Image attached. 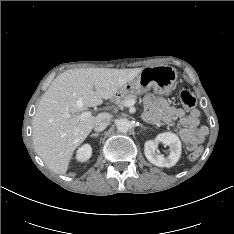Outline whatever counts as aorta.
Wrapping results in <instances>:
<instances>
[{
    "mask_svg": "<svg viewBox=\"0 0 234 234\" xmlns=\"http://www.w3.org/2000/svg\"><path fill=\"white\" fill-rule=\"evenodd\" d=\"M116 127H117L118 131L126 133L131 128V122L126 118H122L116 122Z\"/></svg>",
    "mask_w": 234,
    "mask_h": 234,
    "instance_id": "1",
    "label": "aorta"
}]
</instances>
